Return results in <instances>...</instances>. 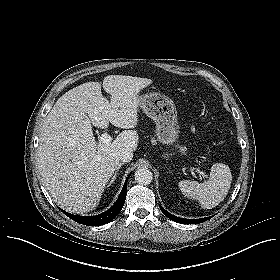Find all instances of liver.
Masks as SVG:
<instances>
[{
	"mask_svg": "<svg viewBox=\"0 0 280 280\" xmlns=\"http://www.w3.org/2000/svg\"><path fill=\"white\" fill-rule=\"evenodd\" d=\"M151 79L109 75L101 83H83L63 94L43 121L37 153L43 185L53 201L72 213L97 207L122 151H135L139 92ZM125 129L109 143H96L92 125ZM127 129V130H126Z\"/></svg>",
	"mask_w": 280,
	"mask_h": 280,
	"instance_id": "liver-1",
	"label": "liver"
}]
</instances>
